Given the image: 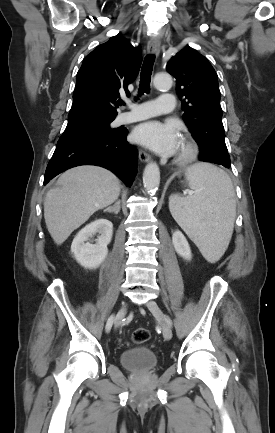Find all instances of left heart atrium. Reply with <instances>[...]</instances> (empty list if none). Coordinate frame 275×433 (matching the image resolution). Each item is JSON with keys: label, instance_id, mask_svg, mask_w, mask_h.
I'll use <instances>...</instances> for the list:
<instances>
[{"label": "left heart atrium", "instance_id": "left-heart-atrium-1", "mask_svg": "<svg viewBox=\"0 0 275 433\" xmlns=\"http://www.w3.org/2000/svg\"><path fill=\"white\" fill-rule=\"evenodd\" d=\"M135 142L161 154L172 155L181 142L177 128L171 122L150 120L139 124L133 131Z\"/></svg>", "mask_w": 275, "mask_h": 433}]
</instances>
